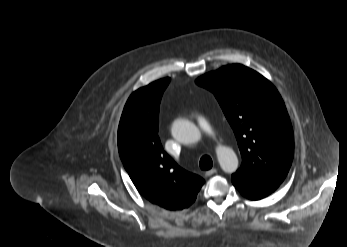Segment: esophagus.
Returning a JSON list of instances; mask_svg holds the SVG:
<instances>
[{"mask_svg": "<svg viewBox=\"0 0 347 247\" xmlns=\"http://www.w3.org/2000/svg\"><path fill=\"white\" fill-rule=\"evenodd\" d=\"M216 172H217V169L216 168H212V169L206 171L205 175L206 176H211V175L215 174Z\"/></svg>", "mask_w": 347, "mask_h": 247, "instance_id": "34e87169", "label": "esophagus"}]
</instances>
